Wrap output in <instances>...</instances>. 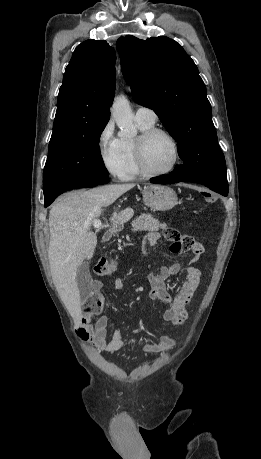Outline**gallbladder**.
I'll list each match as a JSON object with an SVG mask.
<instances>
[{"instance_id": "obj_1", "label": "gallbladder", "mask_w": 261, "mask_h": 459, "mask_svg": "<svg viewBox=\"0 0 261 459\" xmlns=\"http://www.w3.org/2000/svg\"><path fill=\"white\" fill-rule=\"evenodd\" d=\"M76 282L81 301H85L91 292L92 278L89 271V263L84 261L77 270Z\"/></svg>"}]
</instances>
